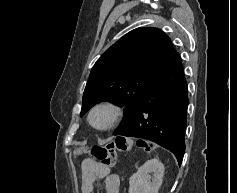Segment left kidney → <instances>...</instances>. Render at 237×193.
<instances>
[{
  "label": "left kidney",
  "mask_w": 237,
  "mask_h": 193,
  "mask_svg": "<svg viewBox=\"0 0 237 193\" xmlns=\"http://www.w3.org/2000/svg\"><path fill=\"white\" fill-rule=\"evenodd\" d=\"M163 176L162 162L158 159L148 160L130 177L129 193H158Z\"/></svg>",
  "instance_id": "left-kidney-1"
}]
</instances>
